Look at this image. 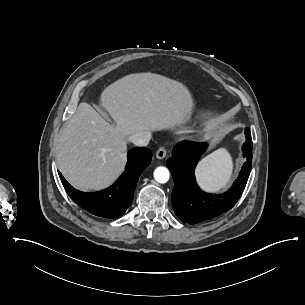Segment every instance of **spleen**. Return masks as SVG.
Wrapping results in <instances>:
<instances>
[{"mask_svg": "<svg viewBox=\"0 0 305 305\" xmlns=\"http://www.w3.org/2000/svg\"><path fill=\"white\" fill-rule=\"evenodd\" d=\"M232 172V157L225 148H220L199 162L195 175L199 186L212 193L228 187Z\"/></svg>", "mask_w": 305, "mask_h": 305, "instance_id": "obj_1", "label": "spleen"}]
</instances>
